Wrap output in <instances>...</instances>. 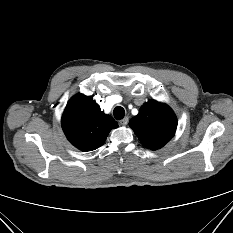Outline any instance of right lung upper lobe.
<instances>
[{"instance_id":"obj_1","label":"right lung upper lobe","mask_w":233,"mask_h":233,"mask_svg":"<svg viewBox=\"0 0 233 233\" xmlns=\"http://www.w3.org/2000/svg\"><path fill=\"white\" fill-rule=\"evenodd\" d=\"M117 122L101 111L91 96L75 95L62 115V128L67 139L82 151L99 148Z\"/></svg>"}]
</instances>
